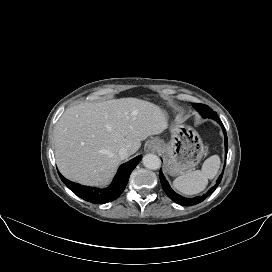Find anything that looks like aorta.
<instances>
[{
  "label": "aorta",
  "mask_w": 272,
  "mask_h": 272,
  "mask_svg": "<svg viewBox=\"0 0 272 272\" xmlns=\"http://www.w3.org/2000/svg\"><path fill=\"white\" fill-rule=\"evenodd\" d=\"M143 165L150 170H157L160 168L161 162L157 155L147 154L143 157Z\"/></svg>",
  "instance_id": "aorta-1"
}]
</instances>
